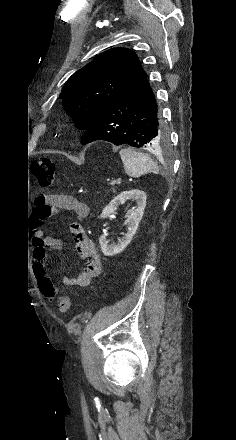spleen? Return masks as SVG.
Returning a JSON list of instances; mask_svg holds the SVG:
<instances>
[{
  "label": "spleen",
  "instance_id": "obj_1",
  "mask_svg": "<svg viewBox=\"0 0 236 440\" xmlns=\"http://www.w3.org/2000/svg\"><path fill=\"white\" fill-rule=\"evenodd\" d=\"M120 157L122 159L127 175L138 178L148 172L158 173V165L146 153L136 152L132 148L121 149Z\"/></svg>",
  "mask_w": 236,
  "mask_h": 440
}]
</instances>
